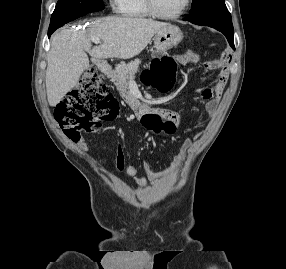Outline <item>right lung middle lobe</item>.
Segmentation results:
<instances>
[{
  "label": "right lung middle lobe",
  "mask_w": 286,
  "mask_h": 269,
  "mask_svg": "<svg viewBox=\"0 0 286 269\" xmlns=\"http://www.w3.org/2000/svg\"><path fill=\"white\" fill-rule=\"evenodd\" d=\"M103 8L102 0H58L49 29H57L76 18Z\"/></svg>",
  "instance_id": "right-lung-middle-lobe-1"
}]
</instances>
